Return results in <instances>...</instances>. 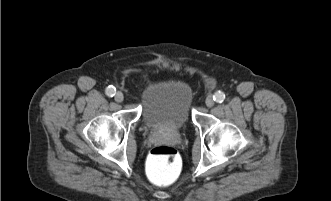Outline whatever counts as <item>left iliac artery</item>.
Returning a JSON list of instances; mask_svg holds the SVG:
<instances>
[{"label":"left iliac artery","mask_w":331,"mask_h":201,"mask_svg":"<svg viewBox=\"0 0 331 201\" xmlns=\"http://www.w3.org/2000/svg\"><path fill=\"white\" fill-rule=\"evenodd\" d=\"M213 99L217 102V103H222L225 99V94L221 91H218L214 94Z\"/></svg>","instance_id":"44dca946"}]
</instances>
